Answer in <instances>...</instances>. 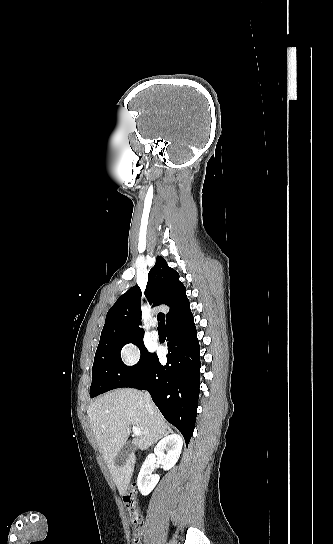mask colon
<instances>
[{
	"label": "colon",
	"mask_w": 333,
	"mask_h": 544,
	"mask_svg": "<svg viewBox=\"0 0 333 544\" xmlns=\"http://www.w3.org/2000/svg\"><path fill=\"white\" fill-rule=\"evenodd\" d=\"M123 502L127 509L132 527V544H141L143 535V519L138 507L137 490L134 485L123 496Z\"/></svg>",
	"instance_id": "5ec220e1"
}]
</instances>
